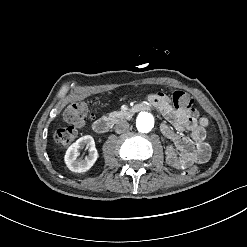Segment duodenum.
Listing matches in <instances>:
<instances>
[{"label":"duodenum","instance_id":"1","mask_svg":"<svg viewBox=\"0 0 247 247\" xmlns=\"http://www.w3.org/2000/svg\"><path fill=\"white\" fill-rule=\"evenodd\" d=\"M149 107L145 104H137L127 111H125L124 116L129 118L131 115L137 111H147ZM113 125V120L110 118H100L94 121L92 127L96 133L102 134L108 132Z\"/></svg>","mask_w":247,"mask_h":247}]
</instances>
